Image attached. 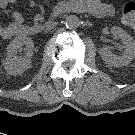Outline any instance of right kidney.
Here are the masks:
<instances>
[{
  "label": "right kidney",
  "instance_id": "1",
  "mask_svg": "<svg viewBox=\"0 0 135 135\" xmlns=\"http://www.w3.org/2000/svg\"><path fill=\"white\" fill-rule=\"evenodd\" d=\"M24 50L26 53L18 57V51ZM34 43L30 37L20 36L13 39L7 46V57L4 60V68L10 75H20L31 67V57L33 54Z\"/></svg>",
  "mask_w": 135,
  "mask_h": 135
}]
</instances>
